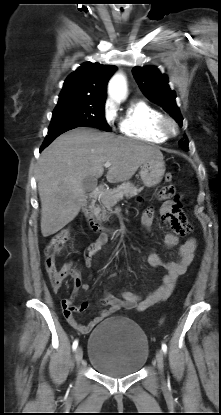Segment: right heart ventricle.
Returning <instances> with one entry per match:
<instances>
[{"label": "right heart ventricle", "mask_w": 221, "mask_h": 415, "mask_svg": "<svg viewBox=\"0 0 221 415\" xmlns=\"http://www.w3.org/2000/svg\"><path fill=\"white\" fill-rule=\"evenodd\" d=\"M162 112L145 101H133L119 121L122 135L148 142L164 143L168 137L158 128Z\"/></svg>", "instance_id": "obj_1"}]
</instances>
